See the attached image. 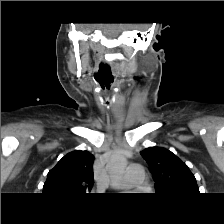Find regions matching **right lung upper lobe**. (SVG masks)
<instances>
[{"instance_id":"right-lung-upper-lobe-1","label":"right lung upper lobe","mask_w":224,"mask_h":224,"mask_svg":"<svg viewBox=\"0 0 224 224\" xmlns=\"http://www.w3.org/2000/svg\"><path fill=\"white\" fill-rule=\"evenodd\" d=\"M94 156L88 151L76 150L65 155L49 171L43 193L83 195L91 191L94 178Z\"/></svg>"}]
</instances>
